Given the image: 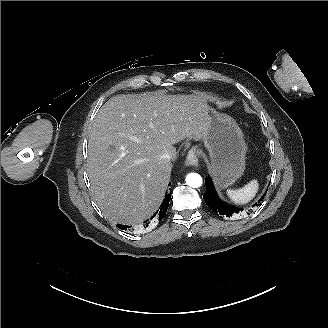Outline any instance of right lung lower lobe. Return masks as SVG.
<instances>
[{
    "label": "right lung lower lobe",
    "mask_w": 328,
    "mask_h": 328,
    "mask_svg": "<svg viewBox=\"0 0 328 328\" xmlns=\"http://www.w3.org/2000/svg\"><path fill=\"white\" fill-rule=\"evenodd\" d=\"M171 184V183H170ZM170 198H171V194L168 193L165 195V198L160 206V210L157 211L156 214H154L151 218H150V221H146L143 226L144 228L148 227L150 223H155L157 221H161L163 219V217L165 216L166 214V211H167V208H168V205H169V201H170ZM121 230H125V229H128L130 228L131 226H126V225H120L118 224L117 225Z\"/></svg>",
    "instance_id": "obj_1"
}]
</instances>
